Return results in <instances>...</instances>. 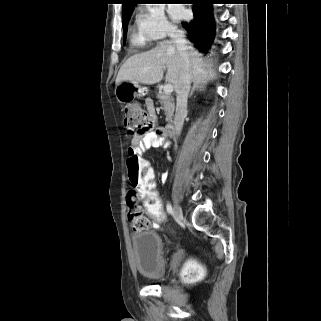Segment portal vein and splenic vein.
<instances>
[{
	"label": "portal vein and splenic vein",
	"mask_w": 321,
	"mask_h": 321,
	"mask_svg": "<svg viewBox=\"0 0 321 321\" xmlns=\"http://www.w3.org/2000/svg\"><path fill=\"white\" fill-rule=\"evenodd\" d=\"M163 91L165 94H170L173 91V85L170 83L165 84Z\"/></svg>",
	"instance_id": "1"
}]
</instances>
